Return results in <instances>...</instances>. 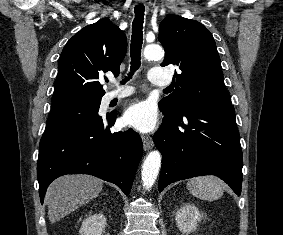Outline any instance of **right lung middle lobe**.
<instances>
[{
    "label": "right lung middle lobe",
    "instance_id": "right-lung-middle-lobe-1",
    "mask_svg": "<svg viewBox=\"0 0 283 235\" xmlns=\"http://www.w3.org/2000/svg\"><path fill=\"white\" fill-rule=\"evenodd\" d=\"M101 98L79 97L55 102L45 133H52L73 123L87 120L98 114Z\"/></svg>",
    "mask_w": 283,
    "mask_h": 235
}]
</instances>
